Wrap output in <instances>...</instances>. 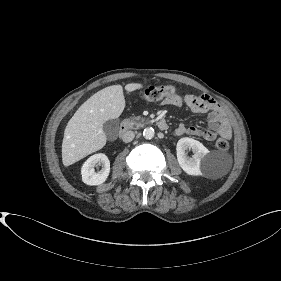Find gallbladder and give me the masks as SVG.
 I'll return each mask as SVG.
<instances>
[{"instance_id":"bac80fb5","label":"gallbladder","mask_w":281,"mask_h":281,"mask_svg":"<svg viewBox=\"0 0 281 281\" xmlns=\"http://www.w3.org/2000/svg\"><path fill=\"white\" fill-rule=\"evenodd\" d=\"M119 121L117 119H111L103 124V131L107 138H115L118 134Z\"/></svg>"}]
</instances>
